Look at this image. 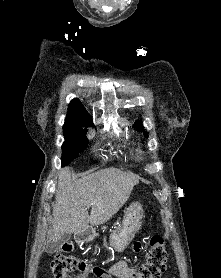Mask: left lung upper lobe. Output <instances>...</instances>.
<instances>
[{"label": "left lung upper lobe", "mask_w": 221, "mask_h": 278, "mask_svg": "<svg viewBox=\"0 0 221 278\" xmlns=\"http://www.w3.org/2000/svg\"><path fill=\"white\" fill-rule=\"evenodd\" d=\"M134 127H136V129H137L138 131L144 132L143 126H142V124H141L140 121H139V122H136V124L134 125ZM144 135H145L146 137H148V134H147V133H144Z\"/></svg>", "instance_id": "5c2ea615"}]
</instances>
